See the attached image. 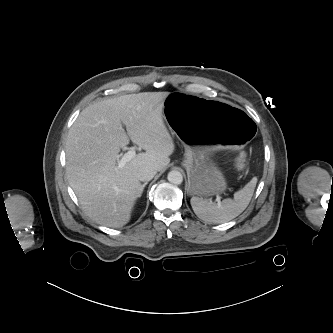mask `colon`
Segmentation results:
<instances>
[{
    "mask_svg": "<svg viewBox=\"0 0 333 333\" xmlns=\"http://www.w3.org/2000/svg\"><path fill=\"white\" fill-rule=\"evenodd\" d=\"M238 163L240 166H243L245 164V156L244 155H240L239 159H238Z\"/></svg>",
    "mask_w": 333,
    "mask_h": 333,
    "instance_id": "colon-1",
    "label": "colon"
}]
</instances>
